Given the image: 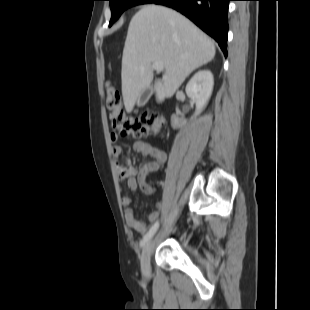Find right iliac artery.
<instances>
[{
	"label": "right iliac artery",
	"mask_w": 310,
	"mask_h": 310,
	"mask_svg": "<svg viewBox=\"0 0 310 310\" xmlns=\"http://www.w3.org/2000/svg\"><path fill=\"white\" fill-rule=\"evenodd\" d=\"M159 227V221H156L150 230L143 236L140 246L143 247L145 243L153 236Z\"/></svg>",
	"instance_id": "right-iliac-artery-1"
}]
</instances>
